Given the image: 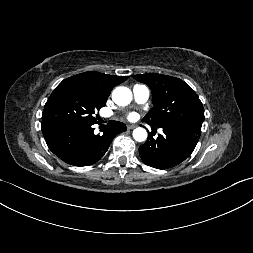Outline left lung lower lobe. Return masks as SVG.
<instances>
[{"instance_id":"left-lung-lower-lobe-1","label":"left lung lower lobe","mask_w":253,"mask_h":253,"mask_svg":"<svg viewBox=\"0 0 253 253\" xmlns=\"http://www.w3.org/2000/svg\"><path fill=\"white\" fill-rule=\"evenodd\" d=\"M202 123L190 125L162 126L164 135L157 139L149 134L147 141L139 147L143 162L157 169L174 167L188 158L196 147Z\"/></svg>"}]
</instances>
